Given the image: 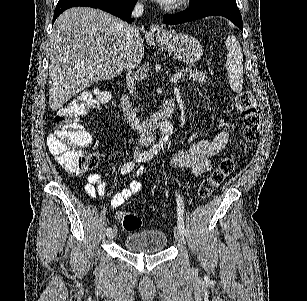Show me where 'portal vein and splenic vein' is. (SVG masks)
<instances>
[{
    "label": "portal vein and splenic vein",
    "instance_id": "portal-vein-and-splenic-vein-1",
    "mask_svg": "<svg viewBox=\"0 0 307 301\" xmlns=\"http://www.w3.org/2000/svg\"><path fill=\"white\" fill-rule=\"evenodd\" d=\"M181 76H182L181 72H177V74H175L173 78H170V80H172V82H177L178 78H181Z\"/></svg>",
    "mask_w": 307,
    "mask_h": 301
}]
</instances>
